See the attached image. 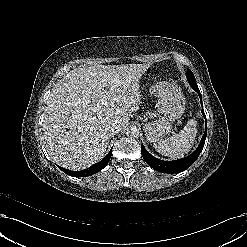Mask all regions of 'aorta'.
Instances as JSON below:
<instances>
[{
	"mask_svg": "<svg viewBox=\"0 0 247 247\" xmlns=\"http://www.w3.org/2000/svg\"><path fill=\"white\" fill-rule=\"evenodd\" d=\"M126 135L132 138H137L139 136V129L136 126H129L126 129Z\"/></svg>",
	"mask_w": 247,
	"mask_h": 247,
	"instance_id": "1",
	"label": "aorta"
}]
</instances>
